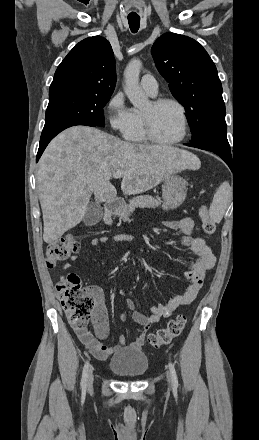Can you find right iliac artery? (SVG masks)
I'll list each match as a JSON object with an SVG mask.
<instances>
[{"instance_id":"right-iliac-artery-1","label":"right iliac artery","mask_w":259,"mask_h":440,"mask_svg":"<svg viewBox=\"0 0 259 440\" xmlns=\"http://www.w3.org/2000/svg\"><path fill=\"white\" fill-rule=\"evenodd\" d=\"M88 371H89V361H87L84 365L82 378H81V389L83 392L86 391L87 387V379H88Z\"/></svg>"}]
</instances>
